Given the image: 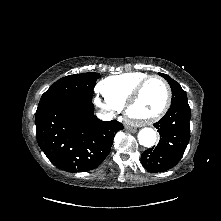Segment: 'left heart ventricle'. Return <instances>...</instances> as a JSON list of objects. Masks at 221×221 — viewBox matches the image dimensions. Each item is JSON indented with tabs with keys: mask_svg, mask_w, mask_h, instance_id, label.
I'll use <instances>...</instances> for the list:
<instances>
[{
	"mask_svg": "<svg viewBox=\"0 0 221 221\" xmlns=\"http://www.w3.org/2000/svg\"><path fill=\"white\" fill-rule=\"evenodd\" d=\"M166 98L164 85L157 79L149 81L143 88L137 102L131 109L135 118H147L157 113Z\"/></svg>",
	"mask_w": 221,
	"mask_h": 221,
	"instance_id": "1",
	"label": "left heart ventricle"
}]
</instances>
